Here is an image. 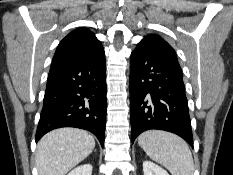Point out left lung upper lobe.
<instances>
[{"instance_id":"left-lung-upper-lobe-1","label":"left lung upper lobe","mask_w":233,"mask_h":175,"mask_svg":"<svg viewBox=\"0 0 233 175\" xmlns=\"http://www.w3.org/2000/svg\"><path fill=\"white\" fill-rule=\"evenodd\" d=\"M140 45L146 46L159 56L172 61L179 65L176 52L174 49L159 35L150 34L139 42Z\"/></svg>"}]
</instances>
